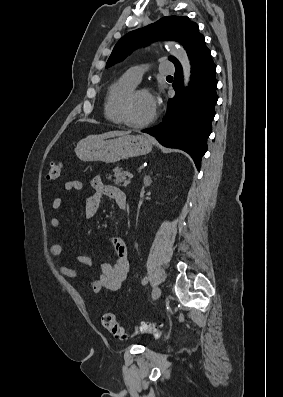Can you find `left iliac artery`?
I'll list each match as a JSON object with an SVG mask.
<instances>
[{"mask_svg": "<svg viewBox=\"0 0 283 397\" xmlns=\"http://www.w3.org/2000/svg\"><path fill=\"white\" fill-rule=\"evenodd\" d=\"M147 282H148V277H145V278L142 280V284L145 285V284H147Z\"/></svg>", "mask_w": 283, "mask_h": 397, "instance_id": "1", "label": "left iliac artery"}]
</instances>
